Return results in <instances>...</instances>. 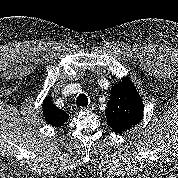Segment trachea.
<instances>
[{
    "label": "trachea",
    "mask_w": 178,
    "mask_h": 178,
    "mask_svg": "<svg viewBox=\"0 0 178 178\" xmlns=\"http://www.w3.org/2000/svg\"><path fill=\"white\" fill-rule=\"evenodd\" d=\"M77 107L84 106L87 107L88 105V97L85 94H80L76 99Z\"/></svg>",
    "instance_id": "3493384b"
}]
</instances>
